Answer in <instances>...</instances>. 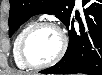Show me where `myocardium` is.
<instances>
[{
	"instance_id": "1",
	"label": "myocardium",
	"mask_w": 102,
	"mask_h": 75,
	"mask_svg": "<svg viewBox=\"0 0 102 75\" xmlns=\"http://www.w3.org/2000/svg\"><path fill=\"white\" fill-rule=\"evenodd\" d=\"M42 27H51L58 32L61 38V47L57 55L52 60L45 63H37L32 61L31 58L29 57L27 53V45L31 37L34 35V33ZM67 44H68L67 36L62 30V28L53 20L45 19V20L35 22L25 33L21 41L20 51H21L22 58L27 66L44 68V67H49L51 65H54L63 57L67 49Z\"/></svg>"
}]
</instances>
